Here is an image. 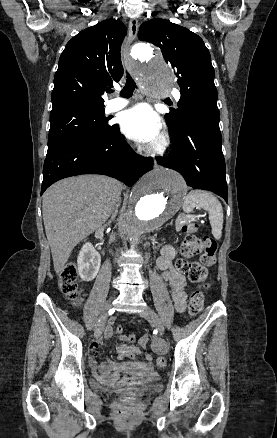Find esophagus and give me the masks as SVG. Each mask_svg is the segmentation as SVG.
<instances>
[{"instance_id": "esophagus-1", "label": "esophagus", "mask_w": 277, "mask_h": 438, "mask_svg": "<svg viewBox=\"0 0 277 438\" xmlns=\"http://www.w3.org/2000/svg\"><path fill=\"white\" fill-rule=\"evenodd\" d=\"M138 33V20L135 17H132L129 20V38L127 41V44L125 46V51H124V55H125V59L127 60H132L131 55H130V48H131V43L135 40L136 36ZM140 88L138 90H136L137 95L139 96V98H144L145 94L143 93L142 89H141V85H139Z\"/></svg>"}]
</instances>
